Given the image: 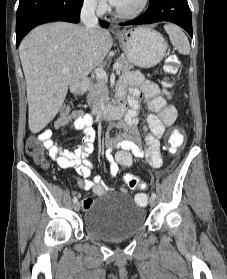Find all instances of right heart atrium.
I'll return each instance as SVG.
<instances>
[{
  "instance_id": "right-heart-atrium-1",
  "label": "right heart atrium",
  "mask_w": 227,
  "mask_h": 279,
  "mask_svg": "<svg viewBox=\"0 0 227 279\" xmlns=\"http://www.w3.org/2000/svg\"><path fill=\"white\" fill-rule=\"evenodd\" d=\"M84 5L89 9L102 13L106 9L105 0H83Z\"/></svg>"
}]
</instances>
